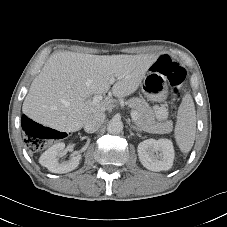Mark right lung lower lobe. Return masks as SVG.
<instances>
[{
  "label": "right lung lower lobe",
  "mask_w": 227,
  "mask_h": 227,
  "mask_svg": "<svg viewBox=\"0 0 227 227\" xmlns=\"http://www.w3.org/2000/svg\"><path fill=\"white\" fill-rule=\"evenodd\" d=\"M31 123H35V122H33L32 120H29V119H27V118H23V119H22V127H23V128H26V126H27L28 124H31Z\"/></svg>",
  "instance_id": "1"
}]
</instances>
